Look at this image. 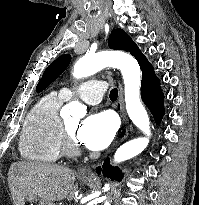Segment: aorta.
Wrapping results in <instances>:
<instances>
[{"mask_svg":"<svg viewBox=\"0 0 199 205\" xmlns=\"http://www.w3.org/2000/svg\"><path fill=\"white\" fill-rule=\"evenodd\" d=\"M105 67L120 69L125 89V103L127 113L132 122L148 137L150 121L148 114L140 99L141 71L139 64L131 55L121 51H102L96 54H86L78 59L73 68V76L77 79L91 76ZM72 115L81 116L85 108L77 101L66 106ZM149 138H136L120 146L114 155L116 163L128 160L140 154L147 147ZM109 186L106 185L105 189ZM104 205H110L105 202Z\"/></svg>","mask_w":199,"mask_h":205,"instance_id":"762f6f07","label":"aorta"}]
</instances>
